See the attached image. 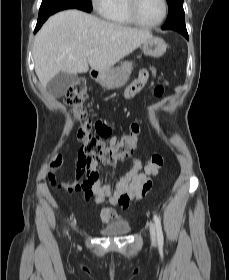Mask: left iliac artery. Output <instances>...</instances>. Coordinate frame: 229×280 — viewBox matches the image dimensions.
Returning a JSON list of instances; mask_svg holds the SVG:
<instances>
[{"instance_id": "left-iliac-artery-1", "label": "left iliac artery", "mask_w": 229, "mask_h": 280, "mask_svg": "<svg viewBox=\"0 0 229 280\" xmlns=\"http://www.w3.org/2000/svg\"><path fill=\"white\" fill-rule=\"evenodd\" d=\"M154 221L157 229V241L160 245L163 244V233H162V227H161V220L158 217L157 214H154Z\"/></svg>"}]
</instances>
